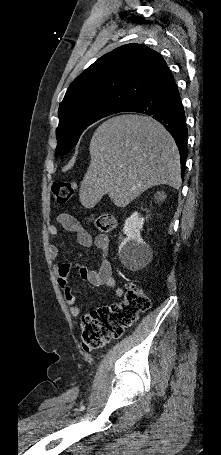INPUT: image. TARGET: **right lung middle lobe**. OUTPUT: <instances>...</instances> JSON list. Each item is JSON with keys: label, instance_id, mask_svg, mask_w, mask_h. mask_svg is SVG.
Segmentation results:
<instances>
[{"label": "right lung middle lobe", "instance_id": "dd1d6c3e", "mask_svg": "<svg viewBox=\"0 0 221 455\" xmlns=\"http://www.w3.org/2000/svg\"><path fill=\"white\" fill-rule=\"evenodd\" d=\"M126 107L118 102L105 101L81 107L59 117L55 156L67 154L89 125L106 116L123 112Z\"/></svg>", "mask_w": 221, "mask_h": 455}]
</instances>
